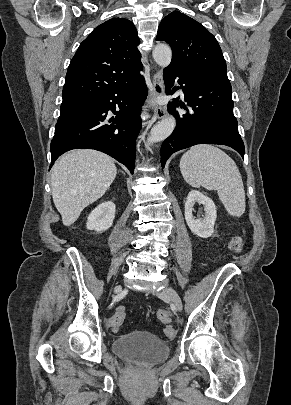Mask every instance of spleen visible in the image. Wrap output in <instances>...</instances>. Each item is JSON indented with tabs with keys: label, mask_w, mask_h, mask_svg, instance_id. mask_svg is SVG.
Listing matches in <instances>:
<instances>
[{
	"label": "spleen",
	"mask_w": 291,
	"mask_h": 405,
	"mask_svg": "<svg viewBox=\"0 0 291 405\" xmlns=\"http://www.w3.org/2000/svg\"><path fill=\"white\" fill-rule=\"evenodd\" d=\"M184 180L192 187L217 190L228 214L240 217L245 212V191L235 162L224 151L211 145H197L180 160Z\"/></svg>",
	"instance_id": "3e777b00"
}]
</instances>
